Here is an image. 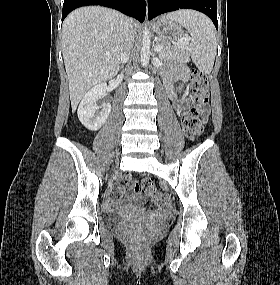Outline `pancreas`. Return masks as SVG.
<instances>
[{"label": "pancreas", "mask_w": 280, "mask_h": 285, "mask_svg": "<svg viewBox=\"0 0 280 285\" xmlns=\"http://www.w3.org/2000/svg\"><path fill=\"white\" fill-rule=\"evenodd\" d=\"M157 46H162L163 49L159 52V57L163 60H177L179 62H189V53L186 47H177L172 42L159 38Z\"/></svg>", "instance_id": "cf45deb5"}]
</instances>
